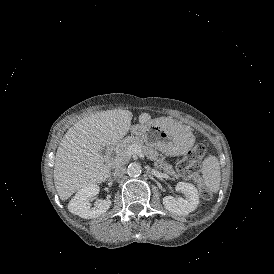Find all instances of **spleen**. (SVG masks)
<instances>
[{"mask_svg":"<svg viewBox=\"0 0 274 274\" xmlns=\"http://www.w3.org/2000/svg\"><path fill=\"white\" fill-rule=\"evenodd\" d=\"M203 184L210 192L216 193L220 187V164L215 156L210 155L202 162Z\"/></svg>","mask_w":274,"mask_h":274,"instance_id":"3e777b00","label":"spleen"}]
</instances>
